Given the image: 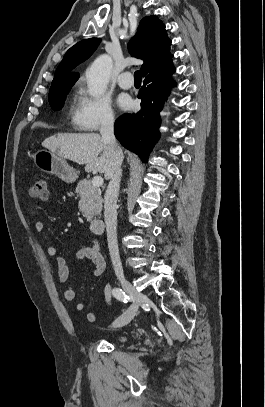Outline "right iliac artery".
I'll return each mask as SVG.
<instances>
[{
  "label": "right iliac artery",
  "instance_id": "82829eb1",
  "mask_svg": "<svg viewBox=\"0 0 265 407\" xmlns=\"http://www.w3.org/2000/svg\"><path fill=\"white\" fill-rule=\"evenodd\" d=\"M112 294L119 301H122V302H125V303L127 302L128 296L125 294V292L122 289L114 288L112 290Z\"/></svg>",
  "mask_w": 265,
  "mask_h": 407
}]
</instances>
